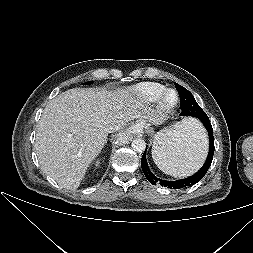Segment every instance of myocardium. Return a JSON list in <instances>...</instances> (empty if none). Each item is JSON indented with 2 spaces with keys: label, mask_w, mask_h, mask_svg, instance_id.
Listing matches in <instances>:
<instances>
[{
  "label": "myocardium",
  "mask_w": 253,
  "mask_h": 253,
  "mask_svg": "<svg viewBox=\"0 0 253 253\" xmlns=\"http://www.w3.org/2000/svg\"><path fill=\"white\" fill-rule=\"evenodd\" d=\"M170 93H174L173 101H168L167 97ZM179 103V94L174 89H165L158 98V105L161 113H169L177 107Z\"/></svg>",
  "instance_id": "myocardium-1"
}]
</instances>
